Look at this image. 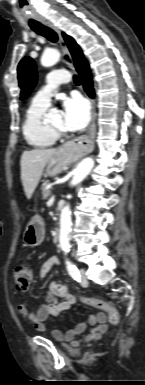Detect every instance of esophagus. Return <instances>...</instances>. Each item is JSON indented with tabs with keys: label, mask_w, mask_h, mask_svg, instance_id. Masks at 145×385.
Here are the masks:
<instances>
[{
	"label": "esophagus",
	"mask_w": 145,
	"mask_h": 385,
	"mask_svg": "<svg viewBox=\"0 0 145 385\" xmlns=\"http://www.w3.org/2000/svg\"><path fill=\"white\" fill-rule=\"evenodd\" d=\"M44 25L51 28L53 31H55L59 37V44L62 50V58L63 61L70 66L72 69H74L73 60L71 58L69 49L61 35V31L59 28H57L52 22L50 21H44ZM92 120L91 124L89 126L88 133L86 135H83L71 142H69L66 147H68L72 152L78 153L80 156H84L88 153H90L94 149V139L96 134V124H95V101L92 99Z\"/></svg>",
	"instance_id": "esophagus-1"
}]
</instances>
